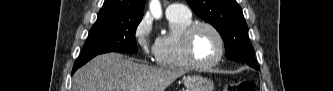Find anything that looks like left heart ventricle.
Segmentation results:
<instances>
[{
    "instance_id": "obj_1",
    "label": "left heart ventricle",
    "mask_w": 333,
    "mask_h": 91,
    "mask_svg": "<svg viewBox=\"0 0 333 91\" xmlns=\"http://www.w3.org/2000/svg\"><path fill=\"white\" fill-rule=\"evenodd\" d=\"M194 53L201 63H209L215 60L219 54V42L215 34L201 28L194 37Z\"/></svg>"
}]
</instances>
